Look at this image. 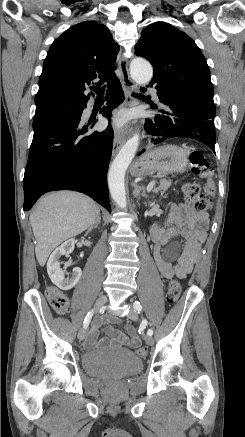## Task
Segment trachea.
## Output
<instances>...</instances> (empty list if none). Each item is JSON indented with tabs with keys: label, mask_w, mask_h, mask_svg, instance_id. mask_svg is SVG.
Listing matches in <instances>:
<instances>
[{
	"label": "trachea",
	"mask_w": 245,
	"mask_h": 437,
	"mask_svg": "<svg viewBox=\"0 0 245 437\" xmlns=\"http://www.w3.org/2000/svg\"><path fill=\"white\" fill-rule=\"evenodd\" d=\"M105 87L102 88H93V90L97 93L98 97H102L104 94ZM132 95H135V93H132Z\"/></svg>",
	"instance_id": "1"
}]
</instances>
